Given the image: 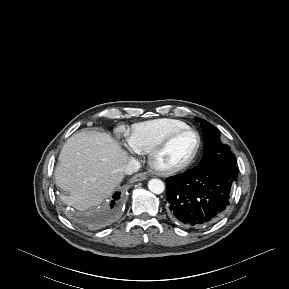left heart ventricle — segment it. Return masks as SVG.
Here are the masks:
<instances>
[{"label": "left heart ventricle", "instance_id": "b2bd125f", "mask_svg": "<svg viewBox=\"0 0 289 289\" xmlns=\"http://www.w3.org/2000/svg\"><path fill=\"white\" fill-rule=\"evenodd\" d=\"M197 136L192 132H185L175 137L165 150L158 156L161 166H173L187 160L195 151Z\"/></svg>", "mask_w": 289, "mask_h": 289}]
</instances>
